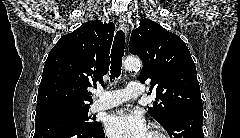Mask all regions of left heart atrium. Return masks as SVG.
Here are the masks:
<instances>
[{"label":"left heart atrium","instance_id":"39dd6f15","mask_svg":"<svg viewBox=\"0 0 240 138\" xmlns=\"http://www.w3.org/2000/svg\"><path fill=\"white\" fill-rule=\"evenodd\" d=\"M111 138H149L150 131L141 114L128 109L113 112L106 120Z\"/></svg>","mask_w":240,"mask_h":138}]
</instances>
